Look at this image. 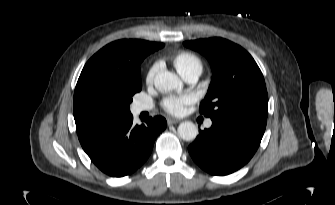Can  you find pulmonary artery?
<instances>
[{"label":"pulmonary artery","mask_w":335,"mask_h":205,"mask_svg":"<svg viewBox=\"0 0 335 205\" xmlns=\"http://www.w3.org/2000/svg\"><path fill=\"white\" fill-rule=\"evenodd\" d=\"M199 76H200V72L192 71V72H189V73L185 74L183 76V78L187 82H195L199 78ZM151 108H152V105H150L148 103H143V102H138L134 106V110H135L136 113H140V112H143V111H148ZM206 126L210 127L211 126V121H207Z\"/></svg>","instance_id":"1"}]
</instances>
